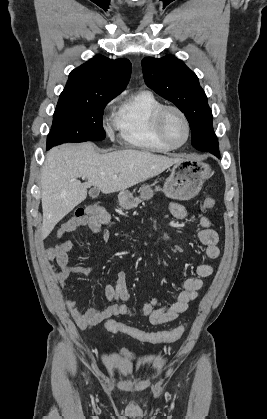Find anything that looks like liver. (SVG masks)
Here are the masks:
<instances>
[{"label":"liver","mask_w":267,"mask_h":419,"mask_svg":"<svg viewBox=\"0 0 267 419\" xmlns=\"http://www.w3.org/2000/svg\"><path fill=\"white\" fill-rule=\"evenodd\" d=\"M180 160L135 149L99 154L91 142L53 148L41 170L42 238L86 199L88 187H97L104 194L126 190ZM80 177L88 181L81 183Z\"/></svg>","instance_id":"6515ba94"}]
</instances>
